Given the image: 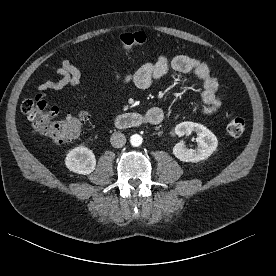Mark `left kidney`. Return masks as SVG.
<instances>
[{"label":"left kidney","instance_id":"left-kidney-1","mask_svg":"<svg viewBox=\"0 0 276 276\" xmlns=\"http://www.w3.org/2000/svg\"><path fill=\"white\" fill-rule=\"evenodd\" d=\"M197 134L196 149H189L184 142H179L173 147V154L183 162H199L208 158L217 148L218 140L216 136L205 126L193 123L182 122L175 127V133L178 136L185 134Z\"/></svg>","mask_w":276,"mask_h":276}]
</instances>
